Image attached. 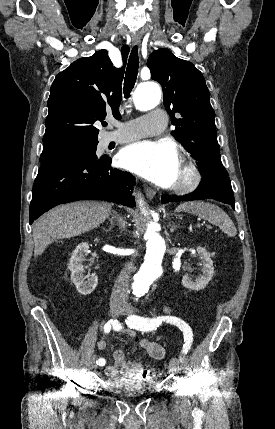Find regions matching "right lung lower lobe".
<instances>
[{
  "instance_id": "right-lung-lower-lobe-1",
  "label": "right lung lower lobe",
  "mask_w": 275,
  "mask_h": 429,
  "mask_svg": "<svg viewBox=\"0 0 275 429\" xmlns=\"http://www.w3.org/2000/svg\"><path fill=\"white\" fill-rule=\"evenodd\" d=\"M132 174L111 168V158L41 166L35 179L29 224L56 205L77 200H105L134 207Z\"/></svg>"
}]
</instances>
